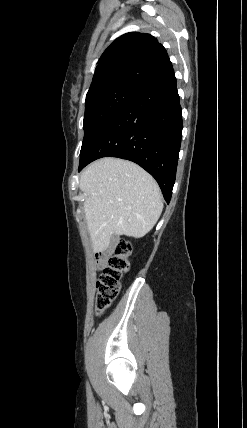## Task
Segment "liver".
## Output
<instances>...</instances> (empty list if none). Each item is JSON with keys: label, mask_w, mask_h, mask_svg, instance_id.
Here are the masks:
<instances>
[{"label": "liver", "mask_w": 247, "mask_h": 428, "mask_svg": "<svg viewBox=\"0 0 247 428\" xmlns=\"http://www.w3.org/2000/svg\"><path fill=\"white\" fill-rule=\"evenodd\" d=\"M90 239L94 252H104L112 235L140 238L157 223L161 191L145 170L130 161L103 158L80 176Z\"/></svg>", "instance_id": "6515ba94"}]
</instances>
